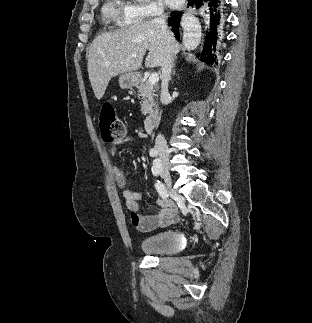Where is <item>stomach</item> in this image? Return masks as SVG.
Masks as SVG:
<instances>
[{
	"label": "stomach",
	"instance_id": "1",
	"mask_svg": "<svg viewBox=\"0 0 312 323\" xmlns=\"http://www.w3.org/2000/svg\"><path fill=\"white\" fill-rule=\"evenodd\" d=\"M139 80L138 74L136 72H129V74H120L119 76V86L123 90H128V88H133L136 86Z\"/></svg>",
	"mask_w": 312,
	"mask_h": 323
}]
</instances>
